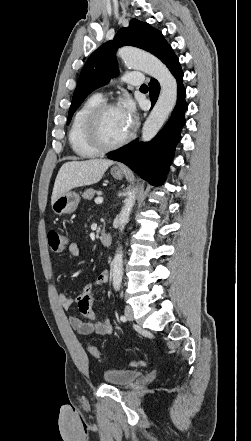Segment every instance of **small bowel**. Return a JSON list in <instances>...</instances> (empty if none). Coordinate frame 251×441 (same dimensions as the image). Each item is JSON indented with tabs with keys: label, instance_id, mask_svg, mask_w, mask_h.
<instances>
[{
	"label": "small bowel",
	"instance_id": "c3829d8e",
	"mask_svg": "<svg viewBox=\"0 0 251 441\" xmlns=\"http://www.w3.org/2000/svg\"><path fill=\"white\" fill-rule=\"evenodd\" d=\"M69 254L72 257L80 256V248L77 243H70L68 245ZM109 281V273L107 271L101 272L94 285L86 284L82 287L81 293L75 299L76 306L80 313L84 316L82 319L79 316L72 315L69 317L71 327L81 335H89L96 333L99 335H109L113 332V326L107 318L97 319L93 304L97 295L104 294V291H98L96 288L104 287ZM60 305L68 310L72 306L74 300L68 293H60L58 295Z\"/></svg>",
	"mask_w": 251,
	"mask_h": 441
}]
</instances>
